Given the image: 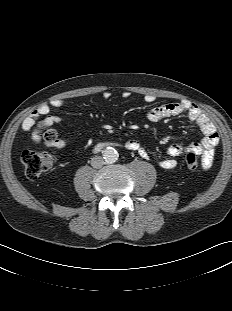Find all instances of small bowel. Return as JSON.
<instances>
[{"label":"small bowel","mask_w":232,"mask_h":311,"mask_svg":"<svg viewBox=\"0 0 232 311\" xmlns=\"http://www.w3.org/2000/svg\"><path fill=\"white\" fill-rule=\"evenodd\" d=\"M128 96L129 93L125 92L124 97L127 98ZM103 97L104 99H108L110 93L104 92ZM154 100V95H144V101L146 103H152ZM65 102L66 100L63 98H54L49 102L42 103L23 120L22 129L30 133L31 140L34 144L41 143L42 132L45 128L58 124L65 119L61 115L50 114L51 109H59L65 105ZM180 115H186L190 121L194 122L203 134V138L201 141L188 146L177 143L169 145L166 150L168 157L161 159L158 165L165 170H171L176 167V157L187 152H194L196 155L201 156L202 167L209 169L214 161L215 147L219 142V133L214 124L198 106L186 101L167 103L150 109L146 117L150 122H158L167 117ZM41 116L44 119L38 124ZM75 138L76 135L66 138H56L53 141H45V144L54 149H63L71 144ZM125 146L128 150L136 151L144 159L149 157L147 150L139 140L130 139L126 142Z\"/></svg>","instance_id":"1"}]
</instances>
